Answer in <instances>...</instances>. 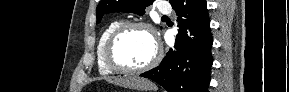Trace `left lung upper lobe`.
Here are the masks:
<instances>
[{"label":"left lung upper lobe","instance_id":"left-lung-upper-lobe-1","mask_svg":"<svg viewBox=\"0 0 289 92\" xmlns=\"http://www.w3.org/2000/svg\"><path fill=\"white\" fill-rule=\"evenodd\" d=\"M154 0H101L97 6V24L100 23L104 14L112 12H132L143 15L145 8ZM174 0H169L172 3Z\"/></svg>","mask_w":289,"mask_h":92}]
</instances>
